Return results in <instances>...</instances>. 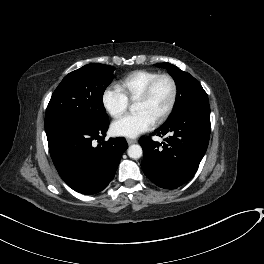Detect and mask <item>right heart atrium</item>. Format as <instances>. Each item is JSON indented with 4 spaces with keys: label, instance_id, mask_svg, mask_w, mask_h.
<instances>
[{
    "label": "right heart atrium",
    "instance_id": "1",
    "mask_svg": "<svg viewBox=\"0 0 264 264\" xmlns=\"http://www.w3.org/2000/svg\"><path fill=\"white\" fill-rule=\"evenodd\" d=\"M102 104L113 118H119L128 108V99L119 87H108L102 94Z\"/></svg>",
    "mask_w": 264,
    "mask_h": 264
}]
</instances>
